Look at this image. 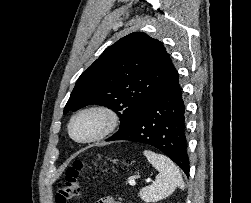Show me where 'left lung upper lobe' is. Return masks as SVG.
Returning <instances> with one entry per match:
<instances>
[{"label": "left lung upper lobe", "mask_w": 251, "mask_h": 203, "mask_svg": "<svg viewBox=\"0 0 251 203\" xmlns=\"http://www.w3.org/2000/svg\"><path fill=\"white\" fill-rule=\"evenodd\" d=\"M171 63L159 40L143 32L131 33L108 47L81 74L63 114L89 104L106 106L120 118L117 135L129 127Z\"/></svg>", "instance_id": "obj_1"}]
</instances>
